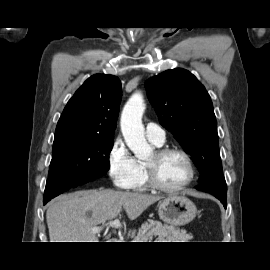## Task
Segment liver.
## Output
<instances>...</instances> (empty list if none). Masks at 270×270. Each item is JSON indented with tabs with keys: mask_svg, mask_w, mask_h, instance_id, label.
<instances>
[{
	"mask_svg": "<svg viewBox=\"0 0 270 270\" xmlns=\"http://www.w3.org/2000/svg\"><path fill=\"white\" fill-rule=\"evenodd\" d=\"M161 197L137 192L78 191L53 200L46 213L50 242H98L92 229L120 215L122 207L130 220L139 217Z\"/></svg>",
	"mask_w": 270,
	"mask_h": 270,
	"instance_id": "6515ba94",
	"label": "liver"
}]
</instances>
